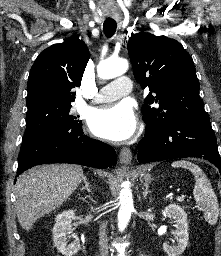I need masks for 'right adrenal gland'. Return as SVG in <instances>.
I'll return each instance as SVG.
<instances>
[{
  "instance_id": "1",
  "label": "right adrenal gland",
  "mask_w": 221,
  "mask_h": 256,
  "mask_svg": "<svg viewBox=\"0 0 221 256\" xmlns=\"http://www.w3.org/2000/svg\"><path fill=\"white\" fill-rule=\"evenodd\" d=\"M83 182H84V186L81 188V191L87 190L89 193H91L92 190L90 188V184H89L88 179H87L86 176L83 177Z\"/></svg>"
}]
</instances>
